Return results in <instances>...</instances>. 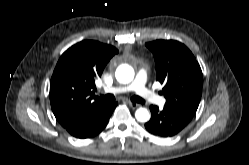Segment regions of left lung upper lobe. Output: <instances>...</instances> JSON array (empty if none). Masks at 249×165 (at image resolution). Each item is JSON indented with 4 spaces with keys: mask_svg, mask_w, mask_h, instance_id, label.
Listing matches in <instances>:
<instances>
[{
    "mask_svg": "<svg viewBox=\"0 0 249 165\" xmlns=\"http://www.w3.org/2000/svg\"><path fill=\"white\" fill-rule=\"evenodd\" d=\"M152 51L157 80L164 84L165 106L195 115L202 94L201 68L191 51L174 40L146 43Z\"/></svg>",
    "mask_w": 249,
    "mask_h": 165,
    "instance_id": "left-lung-upper-lobe-1",
    "label": "left lung upper lobe"
}]
</instances>
